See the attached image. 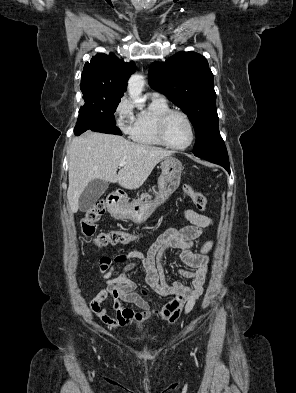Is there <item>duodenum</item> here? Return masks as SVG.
<instances>
[{
	"mask_svg": "<svg viewBox=\"0 0 296 393\" xmlns=\"http://www.w3.org/2000/svg\"><path fill=\"white\" fill-rule=\"evenodd\" d=\"M122 195L121 194H112L108 198V204L111 209H115L120 206V203L122 202Z\"/></svg>",
	"mask_w": 296,
	"mask_h": 393,
	"instance_id": "410a0bca",
	"label": "duodenum"
}]
</instances>
